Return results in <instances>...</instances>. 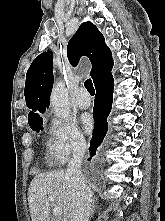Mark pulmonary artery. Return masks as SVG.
<instances>
[{"mask_svg": "<svg viewBox=\"0 0 165 221\" xmlns=\"http://www.w3.org/2000/svg\"><path fill=\"white\" fill-rule=\"evenodd\" d=\"M76 105L81 109H87L91 105V99L84 88H81L76 97Z\"/></svg>", "mask_w": 165, "mask_h": 221, "instance_id": "obj_1", "label": "pulmonary artery"}]
</instances>
